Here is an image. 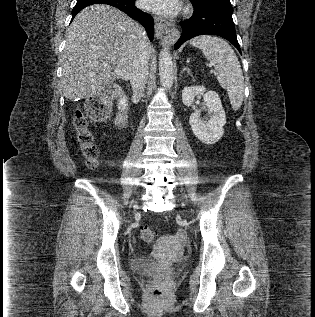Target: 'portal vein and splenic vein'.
<instances>
[{"instance_id":"obj_1","label":"portal vein and splenic vein","mask_w":315,"mask_h":317,"mask_svg":"<svg viewBox=\"0 0 315 317\" xmlns=\"http://www.w3.org/2000/svg\"><path fill=\"white\" fill-rule=\"evenodd\" d=\"M114 72H115V74H117V75H122V73H121V71H120L119 69H115ZM213 72H214V71L211 70V73H213Z\"/></svg>"}]
</instances>
